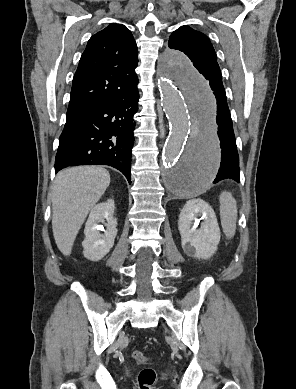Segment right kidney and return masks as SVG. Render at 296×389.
Returning a JSON list of instances; mask_svg holds the SVG:
<instances>
[{"instance_id": "right-kidney-1", "label": "right kidney", "mask_w": 296, "mask_h": 389, "mask_svg": "<svg viewBox=\"0 0 296 389\" xmlns=\"http://www.w3.org/2000/svg\"><path fill=\"white\" fill-rule=\"evenodd\" d=\"M114 210L113 199L99 203L91 210L84 229L85 239L82 242L83 254L88 260H101L113 247L118 232L117 220L113 217Z\"/></svg>"}]
</instances>
